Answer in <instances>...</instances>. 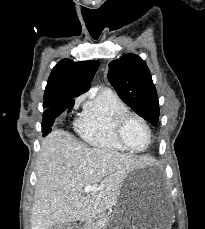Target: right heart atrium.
Masks as SVG:
<instances>
[{"label": "right heart atrium", "instance_id": "right-heart-atrium-1", "mask_svg": "<svg viewBox=\"0 0 205 229\" xmlns=\"http://www.w3.org/2000/svg\"><path fill=\"white\" fill-rule=\"evenodd\" d=\"M84 95L79 96L74 103V108L77 109L79 107V105L81 104V102L84 100Z\"/></svg>", "mask_w": 205, "mask_h": 229}]
</instances>
